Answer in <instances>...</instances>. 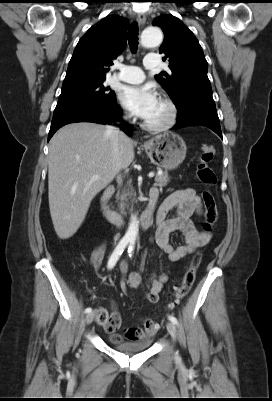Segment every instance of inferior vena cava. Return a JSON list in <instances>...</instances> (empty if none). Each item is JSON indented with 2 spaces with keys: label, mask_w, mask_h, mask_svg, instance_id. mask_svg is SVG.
Listing matches in <instances>:
<instances>
[{
  "label": "inferior vena cava",
  "mask_w": 272,
  "mask_h": 401,
  "mask_svg": "<svg viewBox=\"0 0 272 401\" xmlns=\"http://www.w3.org/2000/svg\"><path fill=\"white\" fill-rule=\"evenodd\" d=\"M107 133L110 135V138H111V149H112L113 159H114V163L117 167V165H118L117 158H118V153H119V141H120V139H126L127 136L125 135V133L120 131V129L115 126H107Z\"/></svg>",
  "instance_id": "inferior-vena-cava-1"
}]
</instances>
